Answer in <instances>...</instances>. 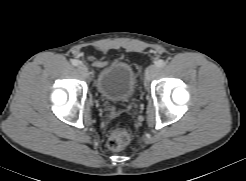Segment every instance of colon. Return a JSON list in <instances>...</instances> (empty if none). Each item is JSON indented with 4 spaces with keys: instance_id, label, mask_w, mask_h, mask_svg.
Masks as SVG:
<instances>
[{
    "instance_id": "obj_1",
    "label": "colon",
    "mask_w": 246,
    "mask_h": 181,
    "mask_svg": "<svg viewBox=\"0 0 246 181\" xmlns=\"http://www.w3.org/2000/svg\"><path fill=\"white\" fill-rule=\"evenodd\" d=\"M130 139V132L125 128H119L111 132L107 140V146L112 151H119L128 145Z\"/></svg>"
}]
</instances>
